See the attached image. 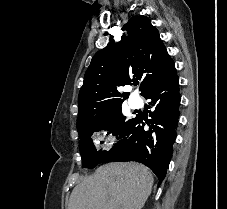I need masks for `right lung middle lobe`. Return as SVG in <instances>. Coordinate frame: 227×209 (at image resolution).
I'll return each instance as SVG.
<instances>
[{
  "mask_svg": "<svg viewBox=\"0 0 227 209\" xmlns=\"http://www.w3.org/2000/svg\"><path fill=\"white\" fill-rule=\"evenodd\" d=\"M123 100L112 98L105 102L106 108L100 114L80 117L77 119V130L80 140V153L82 156V167L94 168L102 162L107 151H96V148L90 139L93 132L101 129H108L110 133L121 139L133 119L126 120L121 111ZM102 143V142H101Z\"/></svg>",
  "mask_w": 227,
  "mask_h": 209,
  "instance_id": "right-lung-middle-lobe-1",
  "label": "right lung middle lobe"
}]
</instances>
